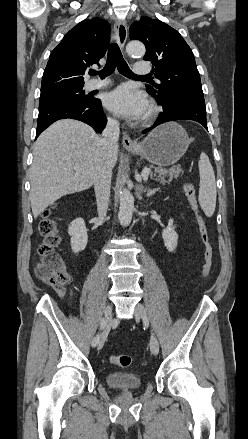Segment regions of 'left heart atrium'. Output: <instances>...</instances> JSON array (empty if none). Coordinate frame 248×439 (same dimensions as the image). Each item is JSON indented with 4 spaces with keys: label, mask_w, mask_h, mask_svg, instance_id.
Instances as JSON below:
<instances>
[{
    "label": "left heart atrium",
    "mask_w": 248,
    "mask_h": 439,
    "mask_svg": "<svg viewBox=\"0 0 248 439\" xmlns=\"http://www.w3.org/2000/svg\"><path fill=\"white\" fill-rule=\"evenodd\" d=\"M104 104L111 112L129 120H139L148 111L146 97L128 85H122L109 92Z\"/></svg>",
    "instance_id": "obj_1"
}]
</instances>
